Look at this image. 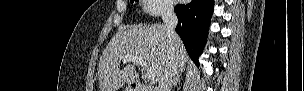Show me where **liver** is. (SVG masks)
<instances>
[{
  "instance_id": "1",
  "label": "liver",
  "mask_w": 304,
  "mask_h": 91,
  "mask_svg": "<svg viewBox=\"0 0 304 91\" xmlns=\"http://www.w3.org/2000/svg\"><path fill=\"white\" fill-rule=\"evenodd\" d=\"M126 56L145 60L146 70L153 75L154 83L160 81L172 59L177 62L180 71L185 69L189 61L180 38L175 44V54L169 52V41L164 25L139 24L120 28L100 58L98 67L100 91H118L124 84L132 83L139 78L136 70L138 64L134 62L120 70L122 58Z\"/></svg>"
}]
</instances>
